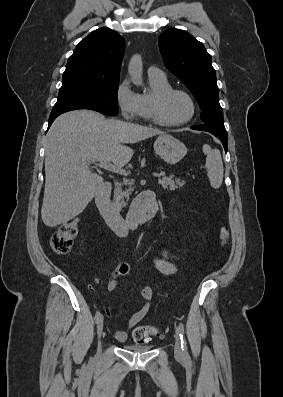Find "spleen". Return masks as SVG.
Here are the masks:
<instances>
[{"instance_id": "obj_1", "label": "spleen", "mask_w": 283, "mask_h": 397, "mask_svg": "<svg viewBox=\"0 0 283 397\" xmlns=\"http://www.w3.org/2000/svg\"><path fill=\"white\" fill-rule=\"evenodd\" d=\"M202 149L206 155L205 167L210 184L215 189L220 188L224 173L221 153L217 149H212L208 144H204Z\"/></svg>"}]
</instances>
